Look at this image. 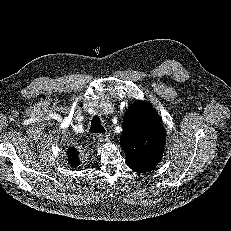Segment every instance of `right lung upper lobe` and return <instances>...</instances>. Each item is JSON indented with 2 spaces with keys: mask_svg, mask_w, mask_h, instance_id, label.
<instances>
[{
  "mask_svg": "<svg viewBox=\"0 0 231 231\" xmlns=\"http://www.w3.org/2000/svg\"><path fill=\"white\" fill-rule=\"evenodd\" d=\"M68 156H69V163L73 166L76 167L80 164L79 159L77 156L72 155L68 152Z\"/></svg>",
  "mask_w": 231,
  "mask_h": 231,
  "instance_id": "obj_1",
  "label": "right lung upper lobe"
}]
</instances>
